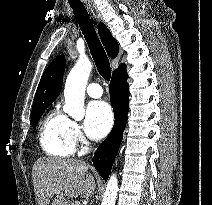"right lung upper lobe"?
<instances>
[{
  "label": "right lung upper lobe",
  "instance_id": "obj_1",
  "mask_svg": "<svg viewBox=\"0 0 212 205\" xmlns=\"http://www.w3.org/2000/svg\"><path fill=\"white\" fill-rule=\"evenodd\" d=\"M98 32L108 55L115 58L119 53L116 39L103 23H99ZM65 64L64 56H57L48 66L41 77L32 108L40 105H50L58 97L62 88Z\"/></svg>",
  "mask_w": 212,
  "mask_h": 205
}]
</instances>
